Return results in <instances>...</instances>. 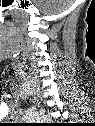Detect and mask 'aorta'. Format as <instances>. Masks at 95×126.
<instances>
[{
    "instance_id": "762f6f07",
    "label": "aorta",
    "mask_w": 95,
    "mask_h": 126,
    "mask_svg": "<svg viewBox=\"0 0 95 126\" xmlns=\"http://www.w3.org/2000/svg\"><path fill=\"white\" fill-rule=\"evenodd\" d=\"M29 121H38V122H48L51 121L50 118L46 115L33 114L28 117Z\"/></svg>"
}]
</instances>
